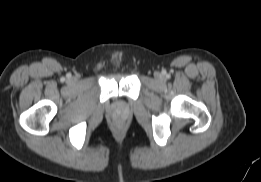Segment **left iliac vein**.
<instances>
[{
    "label": "left iliac vein",
    "mask_w": 261,
    "mask_h": 182,
    "mask_svg": "<svg viewBox=\"0 0 261 182\" xmlns=\"http://www.w3.org/2000/svg\"><path fill=\"white\" fill-rule=\"evenodd\" d=\"M157 78H161V75L160 74H157V76H156Z\"/></svg>",
    "instance_id": "left-iliac-vein-1"
}]
</instances>
